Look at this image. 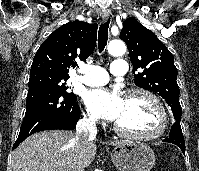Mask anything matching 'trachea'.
Instances as JSON below:
<instances>
[{"label": "trachea", "instance_id": "obj_1", "mask_svg": "<svg viewBox=\"0 0 199 171\" xmlns=\"http://www.w3.org/2000/svg\"><path fill=\"white\" fill-rule=\"evenodd\" d=\"M110 19H108L106 22L102 23L99 32H98V50L99 53H101L108 40V29H109Z\"/></svg>", "mask_w": 199, "mask_h": 171}]
</instances>
